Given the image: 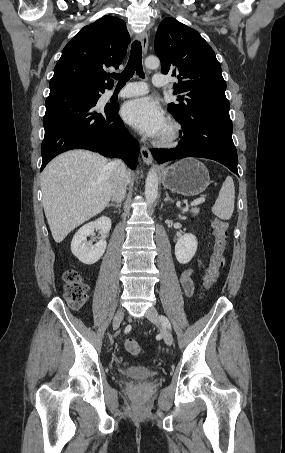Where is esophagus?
<instances>
[{
  "label": "esophagus",
  "instance_id": "1",
  "mask_svg": "<svg viewBox=\"0 0 285 453\" xmlns=\"http://www.w3.org/2000/svg\"><path fill=\"white\" fill-rule=\"evenodd\" d=\"M140 41H141V46H142V51L144 54L147 53L148 49V35L146 31H143L140 36ZM141 157L144 161L145 164L147 165H153V157L151 154V151L146 147V146H141Z\"/></svg>",
  "mask_w": 285,
  "mask_h": 453
}]
</instances>
